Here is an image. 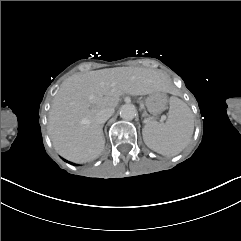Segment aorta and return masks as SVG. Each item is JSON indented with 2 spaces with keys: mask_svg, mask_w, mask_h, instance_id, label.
<instances>
[{
  "mask_svg": "<svg viewBox=\"0 0 241 241\" xmlns=\"http://www.w3.org/2000/svg\"><path fill=\"white\" fill-rule=\"evenodd\" d=\"M137 110L132 104H124L120 108V117L124 120H132L135 118Z\"/></svg>",
  "mask_w": 241,
  "mask_h": 241,
  "instance_id": "aorta-1",
  "label": "aorta"
}]
</instances>
